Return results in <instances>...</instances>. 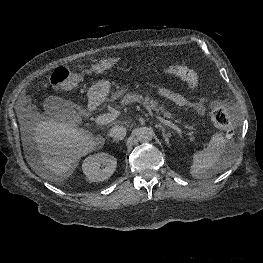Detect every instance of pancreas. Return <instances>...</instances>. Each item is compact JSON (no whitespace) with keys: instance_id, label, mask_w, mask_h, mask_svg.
Listing matches in <instances>:
<instances>
[{"instance_id":"pancreas-1","label":"pancreas","mask_w":263,"mask_h":263,"mask_svg":"<svg viewBox=\"0 0 263 263\" xmlns=\"http://www.w3.org/2000/svg\"><path fill=\"white\" fill-rule=\"evenodd\" d=\"M116 97L121 98V105L125 106L131 104L133 102H139L150 107L152 110L156 111L157 113H162L167 118H172L171 114L164 110L163 107L158 105L156 100L150 99L149 97H142L141 95L126 92L125 90H120L115 94ZM192 129L191 127H188Z\"/></svg>"}]
</instances>
